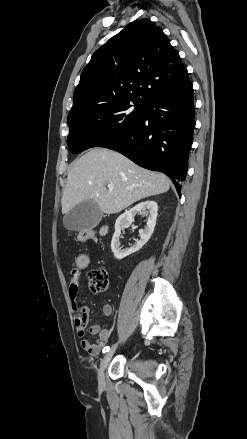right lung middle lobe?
<instances>
[{"mask_svg": "<svg viewBox=\"0 0 247 439\" xmlns=\"http://www.w3.org/2000/svg\"><path fill=\"white\" fill-rule=\"evenodd\" d=\"M145 103L115 101L68 117L69 150L79 153L91 147H107L125 136L144 116Z\"/></svg>", "mask_w": 247, "mask_h": 439, "instance_id": "dd1d6c3e", "label": "right lung middle lobe"}]
</instances>
